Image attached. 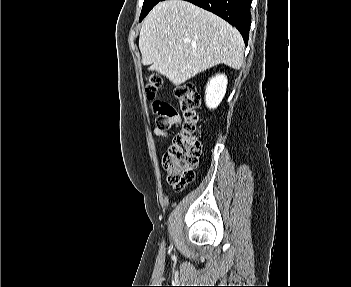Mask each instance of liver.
Listing matches in <instances>:
<instances>
[{"instance_id":"obj_1","label":"liver","mask_w":351,"mask_h":287,"mask_svg":"<svg viewBox=\"0 0 351 287\" xmlns=\"http://www.w3.org/2000/svg\"><path fill=\"white\" fill-rule=\"evenodd\" d=\"M143 65L180 85L218 64L239 69L244 42L239 31L217 15L183 0L158 3L139 35Z\"/></svg>"}]
</instances>
